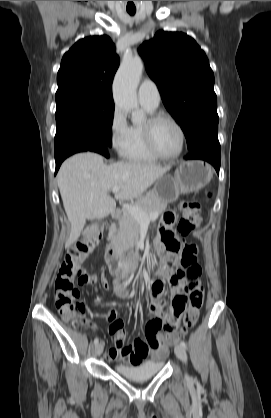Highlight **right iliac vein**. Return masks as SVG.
<instances>
[{
  "instance_id": "right-iliac-vein-1",
  "label": "right iliac vein",
  "mask_w": 271,
  "mask_h": 418,
  "mask_svg": "<svg viewBox=\"0 0 271 418\" xmlns=\"http://www.w3.org/2000/svg\"><path fill=\"white\" fill-rule=\"evenodd\" d=\"M103 348H104V344L102 342L98 343L95 346V353H96L97 356H100L102 354Z\"/></svg>"
}]
</instances>
